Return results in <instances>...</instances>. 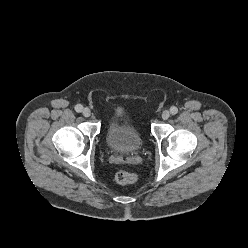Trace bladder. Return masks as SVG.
I'll return each instance as SVG.
<instances>
[{
  "label": "bladder",
  "mask_w": 248,
  "mask_h": 248,
  "mask_svg": "<svg viewBox=\"0 0 248 248\" xmlns=\"http://www.w3.org/2000/svg\"><path fill=\"white\" fill-rule=\"evenodd\" d=\"M105 139L107 145L115 152L132 154L143 146V138L134 125L120 112L109 117Z\"/></svg>",
  "instance_id": "obj_1"
}]
</instances>
